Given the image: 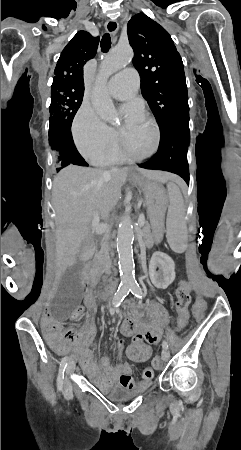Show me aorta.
<instances>
[{"mask_svg":"<svg viewBox=\"0 0 241 450\" xmlns=\"http://www.w3.org/2000/svg\"><path fill=\"white\" fill-rule=\"evenodd\" d=\"M133 55L134 53L130 46H117L106 55L101 64L91 101L95 111L104 121L113 122L116 119L115 106L105 88L107 79L130 63ZM133 240L134 232L131 217L124 215L119 223L116 243L121 284L126 287H132L136 284L132 248Z\"/></svg>","mask_w":241,"mask_h":450,"instance_id":"obj_1","label":"aorta"}]
</instances>
